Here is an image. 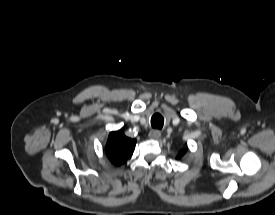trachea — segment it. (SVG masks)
<instances>
[{"mask_svg":"<svg viewBox=\"0 0 275 215\" xmlns=\"http://www.w3.org/2000/svg\"><path fill=\"white\" fill-rule=\"evenodd\" d=\"M164 124V118L161 114L155 113L151 118V126L153 128L161 129Z\"/></svg>","mask_w":275,"mask_h":215,"instance_id":"1","label":"trachea"}]
</instances>
